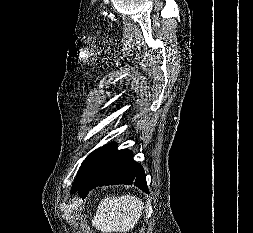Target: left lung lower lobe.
<instances>
[{"mask_svg":"<svg viewBox=\"0 0 253 233\" xmlns=\"http://www.w3.org/2000/svg\"><path fill=\"white\" fill-rule=\"evenodd\" d=\"M116 146L113 142L102 148L90 173L72 187L71 193L77 191L85 197L98 186L116 184H134L149 193L143 167L133 160L131 151L117 150Z\"/></svg>","mask_w":253,"mask_h":233,"instance_id":"left-lung-lower-lobe-1","label":"left lung lower lobe"}]
</instances>
